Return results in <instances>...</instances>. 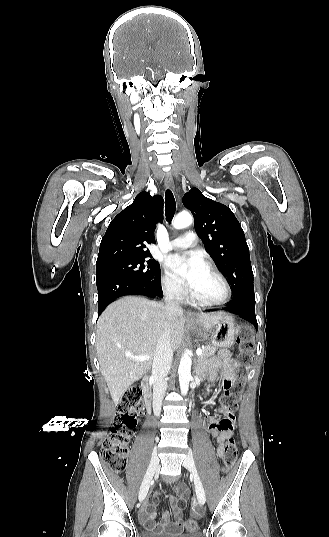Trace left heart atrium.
Here are the masks:
<instances>
[{"label":"left heart atrium","instance_id":"1","mask_svg":"<svg viewBox=\"0 0 329 537\" xmlns=\"http://www.w3.org/2000/svg\"><path fill=\"white\" fill-rule=\"evenodd\" d=\"M166 263L192 292L206 269L205 261L198 252L171 255Z\"/></svg>","mask_w":329,"mask_h":537}]
</instances>
